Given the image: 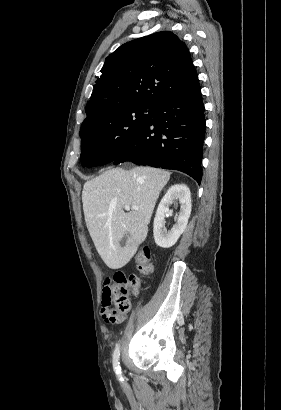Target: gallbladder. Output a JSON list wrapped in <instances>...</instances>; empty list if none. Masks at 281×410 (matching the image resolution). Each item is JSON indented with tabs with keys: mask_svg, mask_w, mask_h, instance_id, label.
I'll return each mask as SVG.
<instances>
[{
	"mask_svg": "<svg viewBox=\"0 0 281 410\" xmlns=\"http://www.w3.org/2000/svg\"><path fill=\"white\" fill-rule=\"evenodd\" d=\"M127 237H128V235H126V236L121 240L120 244H121L122 247L125 246L126 241H127Z\"/></svg>",
	"mask_w": 281,
	"mask_h": 410,
	"instance_id": "1",
	"label": "gallbladder"
}]
</instances>
